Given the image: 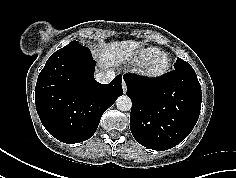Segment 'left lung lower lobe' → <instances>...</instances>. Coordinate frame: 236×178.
<instances>
[{
	"label": "left lung lower lobe",
	"mask_w": 236,
	"mask_h": 178,
	"mask_svg": "<svg viewBox=\"0 0 236 178\" xmlns=\"http://www.w3.org/2000/svg\"><path fill=\"white\" fill-rule=\"evenodd\" d=\"M132 100L130 130L152 150L173 148L195 126L201 109V86L194 70L174 69L158 78L124 75Z\"/></svg>",
	"instance_id": "left-lung-lower-lobe-1"
}]
</instances>
